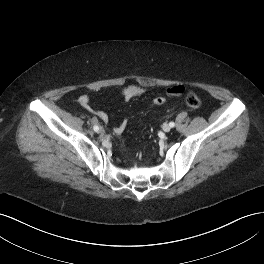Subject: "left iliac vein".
Segmentation results:
<instances>
[{
    "label": "left iliac vein",
    "mask_w": 264,
    "mask_h": 264,
    "mask_svg": "<svg viewBox=\"0 0 264 264\" xmlns=\"http://www.w3.org/2000/svg\"><path fill=\"white\" fill-rule=\"evenodd\" d=\"M162 129L164 132H169L171 130V126L167 123H164Z\"/></svg>",
    "instance_id": "left-iliac-vein-1"
}]
</instances>
